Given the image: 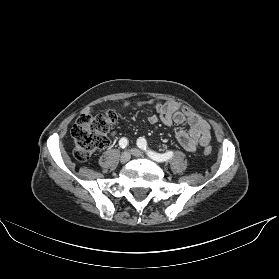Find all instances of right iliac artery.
<instances>
[{
	"mask_svg": "<svg viewBox=\"0 0 279 279\" xmlns=\"http://www.w3.org/2000/svg\"><path fill=\"white\" fill-rule=\"evenodd\" d=\"M119 145L122 149L126 148L128 145V140L126 138H121L119 141Z\"/></svg>",
	"mask_w": 279,
	"mask_h": 279,
	"instance_id": "1",
	"label": "right iliac artery"
}]
</instances>
